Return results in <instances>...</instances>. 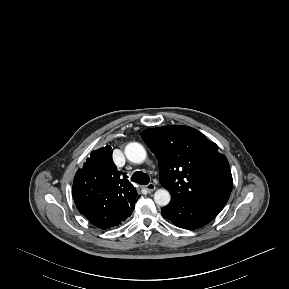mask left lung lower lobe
<instances>
[{"label": "left lung lower lobe", "mask_w": 289, "mask_h": 289, "mask_svg": "<svg viewBox=\"0 0 289 289\" xmlns=\"http://www.w3.org/2000/svg\"><path fill=\"white\" fill-rule=\"evenodd\" d=\"M165 218L176 226L185 229H196L208 224L218 211L190 199L171 198V202L162 208Z\"/></svg>", "instance_id": "1"}]
</instances>
